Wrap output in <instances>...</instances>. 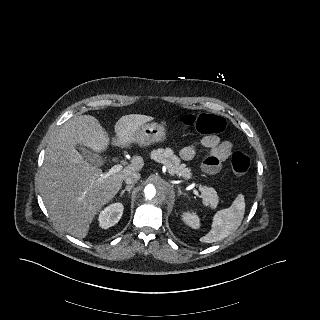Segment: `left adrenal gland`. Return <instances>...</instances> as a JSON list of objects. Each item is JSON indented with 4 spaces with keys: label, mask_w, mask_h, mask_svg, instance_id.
<instances>
[{
    "label": "left adrenal gland",
    "mask_w": 320,
    "mask_h": 320,
    "mask_svg": "<svg viewBox=\"0 0 320 320\" xmlns=\"http://www.w3.org/2000/svg\"><path fill=\"white\" fill-rule=\"evenodd\" d=\"M178 195H179V196H180V195H184V193H182V191H181L180 188H178Z\"/></svg>",
    "instance_id": "a2214340"
}]
</instances>
